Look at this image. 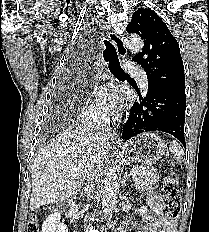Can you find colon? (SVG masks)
Returning <instances> with one entry per match:
<instances>
[{"mask_svg": "<svg viewBox=\"0 0 209 232\" xmlns=\"http://www.w3.org/2000/svg\"><path fill=\"white\" fill-rule=\"evenodd\" d=\"M164 213L167 219L176 220L181 208V190L175 174L169 173L163 183ZM26 232H39V224L36 216H32L28 222Z\"/></svg>", "mask_w": 209, "mask_h": 232, "instance_id": "obj_1", "label": "colon"}]
</instances>
